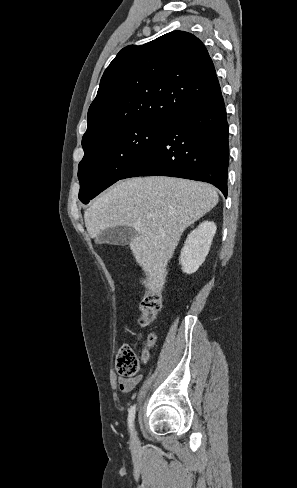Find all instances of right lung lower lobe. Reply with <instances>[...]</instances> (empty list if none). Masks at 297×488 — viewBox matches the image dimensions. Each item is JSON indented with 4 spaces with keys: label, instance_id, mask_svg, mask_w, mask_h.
Segmentation results:
<instances>
[{
    "label": "right lung lower lobe",
    "instance_id": "obj_1",
    "mask_svg": "<svg viewBox=\"0 0 297 488\" xmlns=\"http://www.w3.org/2000/svg\"><path fill=\"white\" fill-rule=\"evenodd\" d=\"M228 123L221 92L169 122L121 179L170 176L211 183L227 197Z\"/></svg>",
    "mask_w": 297,
    "mask_h": 488
}]
</instances>
